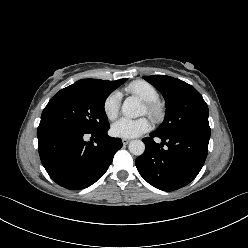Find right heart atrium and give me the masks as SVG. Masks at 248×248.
Segmentation results:
<instances>
[{
    "label": "right heart atrium",
    "mask_w": 248,
    "mask_h": 248,
    "mask_svg": "<svg viewBox=\"0 0 248 248\" xmlns=\"http://www.w3.org/2000/svg\"><path fill=\"white\" fill-rule=\"evenodd\" d=\"M120 94L117 91L110 93L104 100L103 111L109 120L117 117L120 108Z\"/></svg>",
    "instance_id": "d8ad5b80"
}]
</instances>
